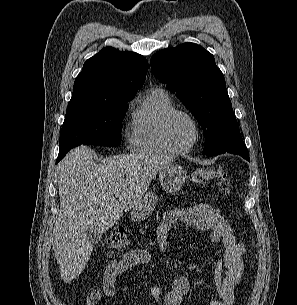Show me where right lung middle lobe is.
Masks as SVG:
<instances>
[{
	"label": "right lung middle lobe",
	"mask_w": 297,
	"mask_h": 305,
	"mask_svg": "<svg viewBox=\"0 0 297 305\" xmlns=\"http://www.w3.org/2000/svg\"><path fill=\"white\" fill-rule=\"evenodd\" d=\"M133 97L68 105L60 133L59 153H67L81 144L120 145L121 123L129 107L127 103Z\"/></svg>",
	"instance_id": "obj_1"
}]
</instances>
